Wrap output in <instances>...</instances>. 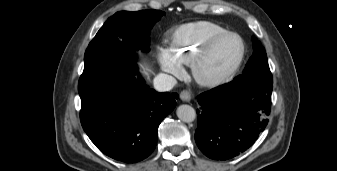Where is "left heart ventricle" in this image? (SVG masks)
<instances>
[{
  "mask_svg": "<svg viewBox=\"0 0 337 171\" xmlns=\"http://www.w3.org/2000/svg\"><path fill=\"white\" fill-rule=\"evenodd\" d=\"M240 54V43L237 38L229 37L219 44L207 56L202 65V72L209 77L223 75L236 62Z\"/></svg>",
  "mask_w": 337,
  "mask_h": 171,
  "instance_id": "obj_1",
  "label": "left heart ventricle"
}]
</instances>
